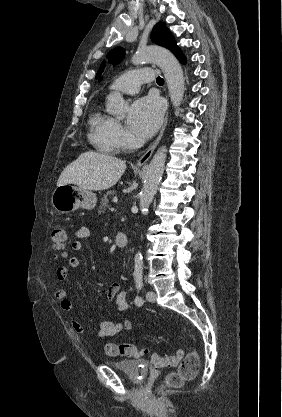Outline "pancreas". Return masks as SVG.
<instances>
[{
	"label": "pancreas",
	"instance_id": "obj_1",
	"mask_svg": "<svg viewBox=\"0 0 282 417\" xmlns=\"http://www.w3.org/2000/svg\"><path fill=\"white\" fill-rule=\"evenodd\" d=\"M109 194H116V190H107L106 194H104L103 198H101V209L102 206H108Z\"/></svg>",
	"mask_w": 282,
	"mask_h": 417
}]
</instances>
